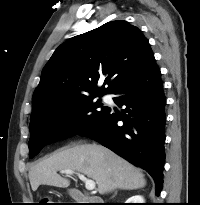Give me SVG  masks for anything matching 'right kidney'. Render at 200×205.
Segmentation results:
<instances>
[{
	"mask_svg": "<svg viewBox=\"0 0 200 205\" xmlns=\"http://www.w3.org/2000/svg\"><path fill=\"white\" fill-rule=\"evenodd\" d=\"M125 203H145L144 198L140 195H135L127 199Z\"/></svg>",
	"mask_w": 200,
	"mask_h": 205,
	"instance_id": "ca27d5eb",
	"label": "right kidney"
}]
</instances>
